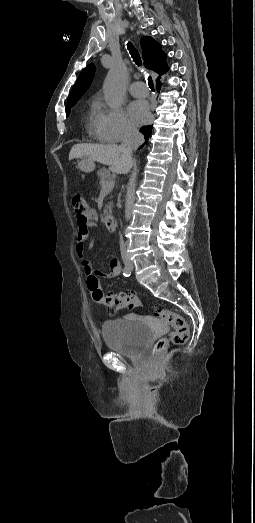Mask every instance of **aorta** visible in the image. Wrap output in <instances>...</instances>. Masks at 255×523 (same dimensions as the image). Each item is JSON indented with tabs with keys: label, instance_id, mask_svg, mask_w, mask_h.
I'll list each match as a JSON object with an SVG mask.
<instances>
[{
	"label": "aorta",
	"instance_id": "aorta-1",
	"mask_svg": "<svg viewBox=\"0 0 255 523\" xmlns=\"http://www.w3.org/2000/svg\"><path fill=\"white\" fill-rule=\"evenodd\" d=\"M126 77L127 69L122 62L112 66L107 74L103 89L106 103L112 108L118 107L123 100Z\"/></svg>",
	"mask_w": 255,
	"mask_h": 523
}]
</instances>
